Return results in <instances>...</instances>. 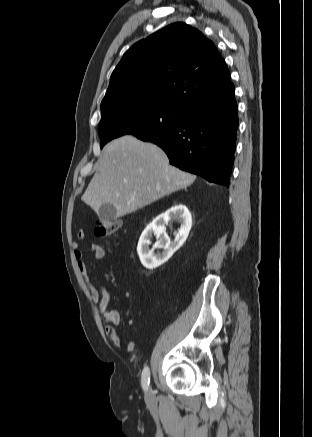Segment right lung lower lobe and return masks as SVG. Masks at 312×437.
I'll return each instance as SVG.
<instances>
[{"label":"right lung lower lobe","mask_w":312,"mask_h":437,"mask_svg":"<svg viewBox=\"0 0 312 437\" xmlns=\"http://www.w3.org/2000/svg\"><path fill=\"white\" fill-rule=\"evenodd\" d=\"M237 128L235 88L230 82L222 91L186 109L177 126L144 141L160 146L170 163L181 170L228 187Z\"/></svg>","instance_id":"98d812e1"}]
</instances>
